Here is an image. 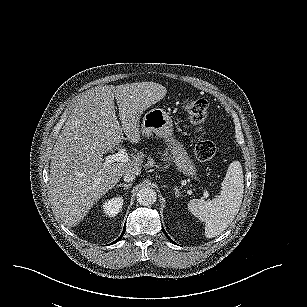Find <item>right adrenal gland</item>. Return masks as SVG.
<instances>
[{"mask_svg": "<svg viewBox=\"0 0 307 307\" xmlns=\"http://www.w3.org/2000/svg\"><path fill=\"white\" fill-rule=\"evenodd\" d=\"M131 186H132V183H129V184L120 183V184L116 185V187H123L124 190H127V189L130 188Z\"/></svg>", "mask_w": 307, "mask_h": 307, "instance_id": "right-adrenal-gland-1", "label": "right adrenal gland"}]
</instances>
